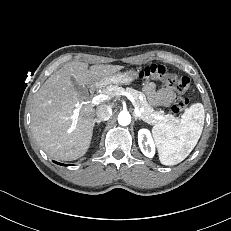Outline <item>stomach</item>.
Listing matches in <instances>:
<instances>
[{"mask_svg": "<svg viewBox=\"0 0 231 231\" xmlns=\"http://www.w3.org/2000/svg\"><path fill=\"white\" fill-rule=\"evenodd\" d=\"M137 78V72L134 70H127L124 72H117L109 76L103 77L94 82L97 87H104L108 84L128 85Z\"/></svg>", "mask_w": 231, "mask_h": 231, "instance_id": "0dacf381", "label": "stomach"}]
</instances>
